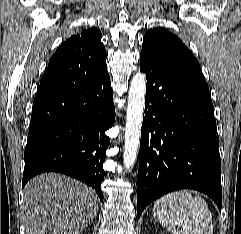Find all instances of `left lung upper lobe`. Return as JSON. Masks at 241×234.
<instances>
[{
	"instance_id": "5c2ea615",
	"label": "left lung upper lobe",
	"mask_w": 241,
	"mask_h": 234,
	"mask_svg": "<svg viewBox=\"0 0 241 234\" xmlns=\"http://www.w3.org/2000/svg\"><path fill=\"white\" fill-rule=\"evenodd\" d=\"M141 54L149 56L174 72L205 82L200 65L192 52L176 35L165 28L148 30L144 36Z\"/></svg>"
}]
</instances>
